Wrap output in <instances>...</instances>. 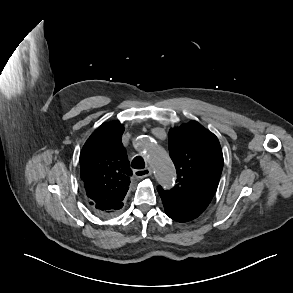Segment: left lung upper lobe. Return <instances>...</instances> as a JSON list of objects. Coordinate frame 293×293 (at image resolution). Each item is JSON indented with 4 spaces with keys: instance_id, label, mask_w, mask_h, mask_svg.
I'll return each instance as SVG.
<instances>
[{
    "instance_id": "left-lung-upper-lobe-1",
    "label": "left lung upper lobe",
    "mask_w": 293,
    "mask_h": 293,
    "mask_svg": "<svg viewBox=\"0 0 293 293\" xmlns=\"http://www.w3.org/2000/svg\"><path fill=\"white\" fill-rule=\"evenodd\" d=\"M169 152L177 170V184L158 192L201 214L212 200L223 168L218 138L192 121L169 131Z\"/></svg>"
}]
</instances>
